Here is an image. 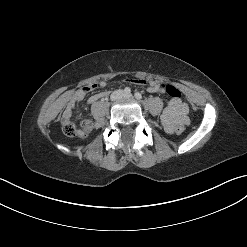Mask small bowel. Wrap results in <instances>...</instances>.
<instances>
[{
  "mask_svg": "<svg viewBox=\"0 0 247 247\" xmlns=\"http://www.w3.org/2000/svg\"><path fill=\"white\" fill-rule=\"evenodd\" d=\"M134 83H138L141 85H146L147 90L150 93H164L165 90L161 88V84L156 81L144 80V79H134L132 80ZM106 82L101 81L97 84H89L84 86L83 88L77 90L69 99L65 111L63 113V122H66L71 117L72 111L76 103L80 102L84 99L87 93L93 91L96 87H106ZM105 93H99L91 96L88 99L87 104H92L104 97ZM189 107L186 103L182 102L178 99H171L161 115V121L165 128V130L169 133L174 131V127L176 125H187L189 123L188 118ZM87 132L79 133V136H84Z\"/></svg>",
  "mask_w": 247,
  "mask_h": 247,
  "instance_id": "obj_1",
  "label": "small bowel"
}]
</instances>
